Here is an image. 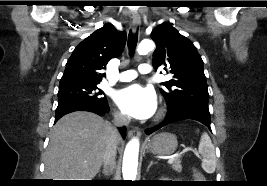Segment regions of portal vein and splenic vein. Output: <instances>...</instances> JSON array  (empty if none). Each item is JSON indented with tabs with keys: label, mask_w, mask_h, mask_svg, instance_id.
Returning <instances> with one entry per match:
<instances>
[{
	"label": "portal vein and splenic vein",
	"mask_w": 267,
	"mask_h": 186,
	"mask_svg": "<svg viewBox=\"0 0 267 186\" xmlns=\"http://www.w3.org/2000/svg\"><path fill=\"white\" fill-rule=\"evenodd\" d=\"M176 158H177V156H175V155L171 156L168 160V164H172Z\"/></svg>",
	"instance_id": "18ae733b"
}]
</instances>
